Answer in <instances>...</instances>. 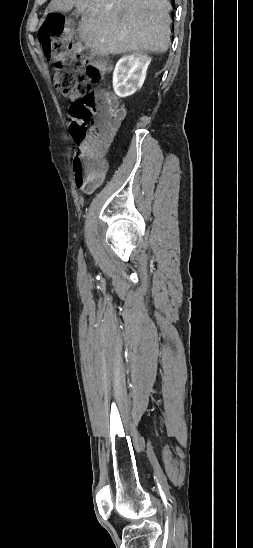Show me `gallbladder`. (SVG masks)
I'll use <instances>...</instances> for the list:
<instances>
[{
  "instance_id": "1",
  "label": "gallbladder",
  "mask_w": 253,
  "mask_h": 548,
  "mask_svg": "<svg viewBox=\"0 0 253 548\" xmlns=\"http://www.w3.org/2000/svg\"><path fill=\"white\" fill-rule=\"evenodd\" d=\"M72 15H73L74 17H78V16L80 15V12L77 11V10H74V11L72 12Z\"/></svg>"
}]
</instances>
